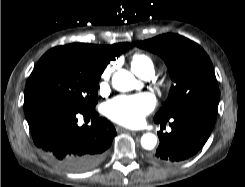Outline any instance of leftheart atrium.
Here are the masks:
<instances>
[{"mask_svg": "<svg viewBox=\"0 0 245 187\" xmlns=\"http://www.w3.org/2000/svg\"><path fill=\"white\" fill-rule=\"evenodd\" d=\"M156 99L151 93L117 96L106 103L104 111L108 118L124 126H138L154 109Z\"/></svg>", "mask_w": 245, "mask_h": 187, "instance_id": "obj_1", "label": "left heart atrium"}]
</instances>
